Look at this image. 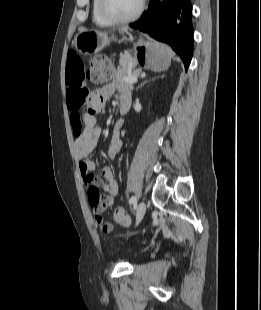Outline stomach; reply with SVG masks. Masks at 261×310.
<instances>
[{
	"instance_id": "stomach-1",
	"label": "stomach",
	"mask_w": 261,
	"mask_h": 310,
	"mask_svg": "<svg viewBox=\"0 0 261 310\" xmlns=\"http://www.w3.org/2000/svg\"><path fill=\"white\" fill-rule=\"evenodd\" d=\"M112 40H116L114 35L108 37L99 31H83L76 35L74 44L80 53L89 55L98 53ZM134 55L138 64L155 72L165 71L171 64V51L157 42L139 40L134 45Z\"/></svg>"
}]
</instances>
